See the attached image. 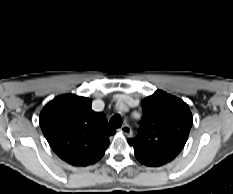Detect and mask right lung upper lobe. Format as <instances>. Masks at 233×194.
I'll return each instance as SVG.
<instances>
[{
    "mask_svg": "<svg viewBox=\"0 0 233 194\" xmlns=\"http://www.w3.org/2000/svg\"><path fill=\"white\" fill-rule=\"evenodd\" d=\"M40 127L52 150L73 166L96 163L109 145L105 115L91 109V100L74 94L61 95L45 105Z\"/></svg>",
    "mask_w": 233,
    "mask_h": 194,
    "instance_id": "cb5924a9",
    "label": "right lung upper lobe"
}]
</instances>
